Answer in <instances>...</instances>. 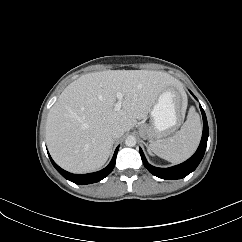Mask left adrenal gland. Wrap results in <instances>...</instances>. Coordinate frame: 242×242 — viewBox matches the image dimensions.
Segmentation results:
<instances>
[{"instance_id": "1", "label": "left adrenal gland", "mask_w": 242, "mask_h": 242, "mask_svg": "<svg viewBox=\"0 0 242 242\" xmlns=\"http://www.w3.org/2000/svg\"><path fill=\"white\" fill-rule=\"evenodd\" d=\"M148 152L150 153L149 147L147 146Z\"/></svg>"}]
</instances>
